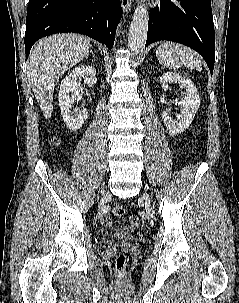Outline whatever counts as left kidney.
I'll return each mask as SVG.
<instances>
[{"mask_svg": "<svg viewBox=\"0 0 239 303\" xmlns=\"http://www.w3.org/2000/svg\"><path fill=\"white\" fill-rule=\"evenodd\" d=\"M162 89L167 91L173 82L180 84L186 89L185 96L179 101L180 113L176 119L171 118L167 112L162 114V120L169 132L179 134L184 132L192 123L196 112L200 106V97L196 86L189 79L177 73L167 72L160 78Z\"/></svg>", "mask_w": 239, "mask_h": 303, "instance_id": "1", "label": "left kidney"}]
</instances>
